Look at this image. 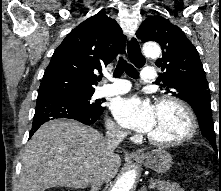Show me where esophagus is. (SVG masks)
<instances>
[{"mask_svg": "<svg viewBox=\"0 0 221 191\" xmlns=\"http://www.w3.org/2000/svg\"><path fill=\"white\" fill-rule=\"evenodd\" d=\"M126 52L130 61L138 68L142 67L145 63V57L142 54L141 45L135 35H130L126 42ZM142 155L141 151H135L133 157Z\"/></svg>", "mask_w": 221, "mask_h": 191, "instance_id": "1", "label": "esophagus"}]
</instances>
